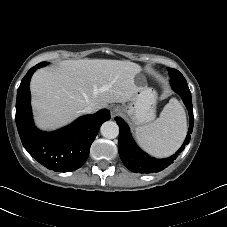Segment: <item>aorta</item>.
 <instances>
[{"label": "aorta", "instance_id": "obj_1", "mask_svg": "<svg viewBox=\"0 0 227 227\" xmlns=\"http://www.w3.org/2000/svg\"><path fill=\"white\" fill-rule=\"evenodd\" d=\"M100 132L107 139H114L119 134V127L114 121H106L102 124Z\"/></svg>", "mask_w": 227, "mask_h": 227}]
</instances>
